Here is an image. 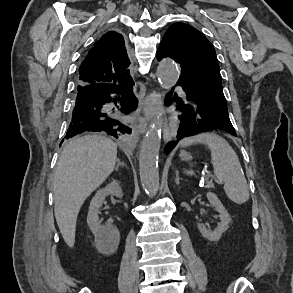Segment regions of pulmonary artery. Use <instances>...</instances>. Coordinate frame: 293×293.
I'll return each mask as SVG.
<instances>
[{"label": "pulmonary artery", "instance_id": "e3ab8cb5", "mask_svg": "<svg viewBox=\"0 0 293 293\" xmlns=\"http://www.w3.org/2000/svg\"><path fill=\"white\" fill-rule=\"evenodd\" d=\"M178 91H179V94L184 96L185 95V92L181 89V88H178Z\"/></svg>", "mask_w": 293, "mask_h": 293}]
</instances>
